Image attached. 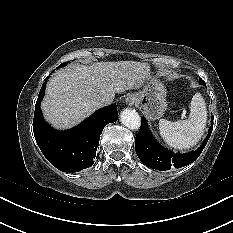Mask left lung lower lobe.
Masks as SVG:
<instances>
[{
    "mask_svg": "<svg viewBox=\"0 0 233 233\" xmlns=\"http://www.w3.org/2000/svg\"><path fill=\"white\" fill-rule=\"evenodd\" d=\"M141 119V127L135 139L136 153L143 164L160 171L169 170L173 167L181 168L193 163L205 148L213 130L212 123L206 139L197 150L185 154H174L157 143L148 128L147 121L144 117H141Z\"/></svg>",
    "mask_w": 233,
    "mask_h": 233,
    "instance_id": "0a47b994",
    "label": "left lung lower lobe"
}]
</instances>
